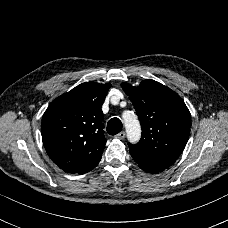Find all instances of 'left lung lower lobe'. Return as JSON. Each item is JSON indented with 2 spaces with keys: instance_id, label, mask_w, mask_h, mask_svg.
Returning <instances> with one entry per match:
<instances>
[{
  "instance_id": "1",
  "label": "left lung lower lobe",
  "mask_w": 228,
  "mask_h": 228,
  "mask_svg": "<svg viewBox=\"0 0 228 228\" xmlns=\"http://www.w3.org/2000/svg\"><path fill=\"white\" fill-rule=\"evenodd\" d=\"M141 169L144 170V171H146V172H148V173H156V172H153V171H151L149 169H145V168H141Z\"/></svg>"
}]
</instances>
